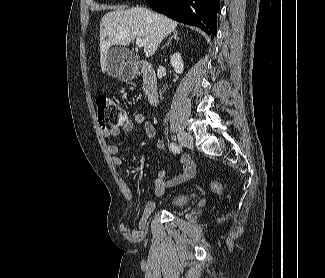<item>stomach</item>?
Segmentation results:
<instances>
[{"label": "stomach", "mask_w": 325, "mask_h": 278, "mask_svg": "<svg viewBox=\"0 0 325 278\" xmlns=\"http://www.w3.org/2000/svg\"><path fill=\"white\" fill-rule=\"evenodd\" d=\"M134 75H135L134 69L122 68L120 71V78L122 81H130L133 79Z\"/></svg>", "instance_id": "obj_1"}]
</instances>
